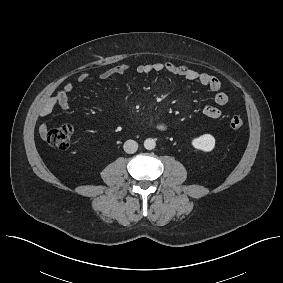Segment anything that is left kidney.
Returning a JSON list of instances; mask_svg holds the SVG:
<instances>
[{
	"instance_id": "1",
	"label": "left kidney",
	"mask_w": 283,
	"mask_h": 283,
	"mask_svg": "<svg viewBox=\"0 0 283 283\" xmlns=\"http://www.w3.org/2000/svg\"><path fill=\"white\" fill-rule=\"evenodd\" d=\"M192 146L204 152H210L215 147V138L211 134H203L192 140Z\"/></svg>"
}]
</instances>
